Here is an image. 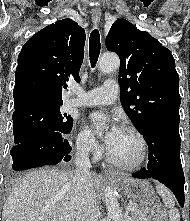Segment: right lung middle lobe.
<instances>
[{"instance_id": "dd1d6c3e", "label": "right lung middle lobe", "mask_w": 190, "mask_h": 221, "mask_svg": "<svg viewBox=\"0 0 190 221\" xmlns=\"http://www.w3.org/2000/svg\"><path fill=\"white\" fill-rule=\"evenodd\" d=\"M60 104H44L13 113V133L15 144H20L42 131L65 132L72 129L73 118L61 114Z\"/></svg>"}]
</instances>
